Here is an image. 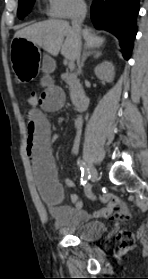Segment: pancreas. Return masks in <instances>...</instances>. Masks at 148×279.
<instances>
[{"mask_svg": "<svg viewBox=\"0 0 148 279\" xmlns=\"http://www.w3.org/2000/svg\"><path fill=\"white\" fill-rule=\"evenodd\" d=\"M61 79L67 83L70 90V97L73 103L83 95V88L76 73L66 72L61 75Z\"/></svg>", "mask_w": 148, "mask_h": 279, "instance_id": "1", "label": "pancreas"}]
</instances>
